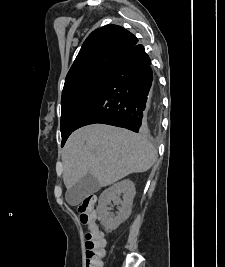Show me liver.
I'll list each match as a JSON object with an SVG mask.
<instances>
[{
  "mask_svg": "<svg viewBox=\"0 0 225 267\" xmlns=\"http://www.w3.org/2000/svg\"><path fill=\"white\" fill-rule=\"evenodd\" d=\"M156 157L146 135L90 124L74 131L63 148L64 184L70 189L89 173L100 186H108L129 174L146 172Z\"/></svg>",
  "mask_w": 225,
  "mask_h": 267,
  "instance_id": "liver-1",
  "label": "liver"
}]
</instances>
